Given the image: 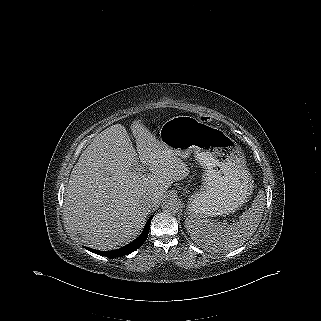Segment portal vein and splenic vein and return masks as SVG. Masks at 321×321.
<instances>
[{"instance_id":"obj_1","label":"portal vein and splenic vein","mask_w":321,"mask_h":321,"mask_svg":"<svg viewBox=\"0 0 321 321\" xmlns=\"http://www.w3.org/2000/svg\"><path fill=\"white\" fill-rule=\"evenodd\" d=\"M137 170H138L139 172H144V171H145V166H144V164L142 163V164L138 165Z\"/></svg>"}]
</instances>
